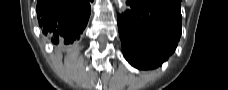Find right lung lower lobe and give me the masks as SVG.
<instances>
[{
    "label": "right lung lower lobe",
    "mask_w": 228,
    "mask_h": 90,
    "mask_svg": "<svg viewBox=\"0 0 228 90\" xmlns=\"http://www.w3.org/2000/svg\"><path fill=\"white\" fill-rule=\"evenodd\" d=\"M36 12L43 33L59 48H66L79 39L91 7L88 0H38Z\"/></svg>",
    "instance_id": "obj_1"
}]
</instances>
